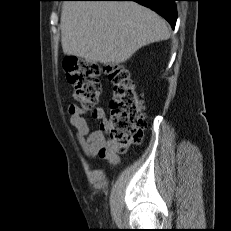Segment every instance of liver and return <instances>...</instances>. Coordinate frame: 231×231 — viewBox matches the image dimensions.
<instances>
[{
  "label": "liver",
  "instance_id": "6515ba94",
  "mask_svg": "<svg viewBox=\"0 0 231 231\" xmlns=\"http://www.w3.org/2000/svg\"><path fill=\"white\" fill-rule=\"evenodd\" d=\"M60 28L64 54L111 66L170 37L166 21L135 2L68 1Z\"/></svg>",
  "mask_w": 231,
  "mask_h": 231
}]
</instances>
